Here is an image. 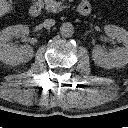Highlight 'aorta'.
Listing matches in <instances>:
<instances>
[{
	"label": "aorta",
	"instance_id": "obj_1",
	"mask_svg": "<svg viewBox=\"0 0 128 128\" xmlns=\"http://www.w3.org/2000/svg\"><path fill=\"white\" fill-rule=\"evenodd\" d=\"M60 33L64 37H70L74 33V26L70 22H64L60 27Z\"/></svg>",
	"mask_w": 128,
	"mask_h": 128
}]
</instances>
